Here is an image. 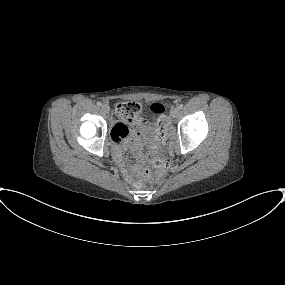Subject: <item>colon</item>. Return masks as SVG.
Listing matches in <instances>:
<instances>
[{"instance_id":"5ec220e1","label":"colon","mask_w":285,"mask_h":285,"mask_svg":"<svg viewBox=\"0 0 285 285\" xmlns=\"http://www.w3.org/2000/svg\"><path fill=\"white\" fill-rule=\"evenodd\" d=\"M150 110L157 115L156 128L153 131L154 142L156 144H165L168 141L169 118L164 114V106L161 103H153ZM116 114L129 124L138 119L142 115V106L138 101L130 100L121 102L116 106ZM146 150L140 151L138 154L143 155ZM171 166L170 160L164 155L157 156L152 161V169L145 168L139 176L133 178V186L141 187L147 180H154L163 177ZM135 168H132L134 170Z\"/></svg>"}]
</instances>
